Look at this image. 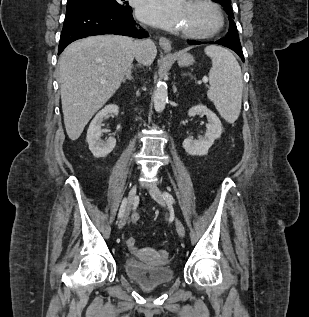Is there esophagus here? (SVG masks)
Returning a JSON list of instances; mask_svg holds the SVG:
<instances>
[{"mask_svg":"<svg viewBox=\"0 0 309 317\" xmlns=\"http://www.w3.org/2000/svg\"><path fill=\"white\" fill-rule=\"evenodd\" d=\"M159 45L165 52L171 51V41L166 37H160L159 39Z\"/></svg>","mask_w":309,"mask_h":317,"instance_id":"obj_1","label":"esophagus"}]
</instances>
